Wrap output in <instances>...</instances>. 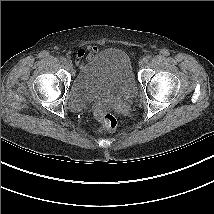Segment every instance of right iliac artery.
Segmentation results:
<instances>
[{"label":"right iliac artery","instance_id":"82829eb1","mask_svg":"<svg viewBox=\"0 0 214 214\" xmlns=\"http://www.w3.org/2000/svg\"><path fill=\"white\" fill-rule=\"evenodd\" d=\"M60 61H61L62 63H64V62L66 61V58L61 57V58H60Z\"/></svg>","mask_w":214,"mask_h":214}]
</instances>
